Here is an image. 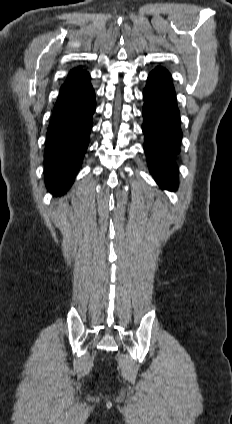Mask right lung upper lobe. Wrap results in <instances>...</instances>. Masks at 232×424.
I'll return each instance as SVG.
<instances>
[{"mask_svg":"<svg viewBox=\"0 0 232 424\" xmlns=\"http://www.w3.org/2000/svg\"><path fill=\"white\" fill-rule=\"evenodd\" d=\"M77 71H83V70L80 69V68H76L75 70H72L69 74L74 73V72H77Z\"/></svg>","mask_w":232,"mask_h":424,"instance_id":"cb5924a9","label":"right lung upper lobe"}]
</instances>
